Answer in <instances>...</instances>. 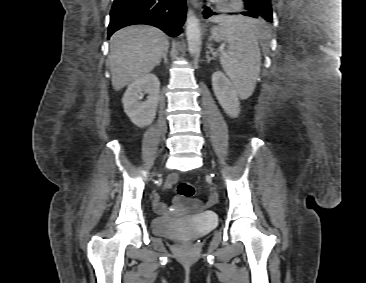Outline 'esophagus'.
<instances>
[{"label":"esophagus","mask_w":366,"mask_h":283,"mask_svg":"<svg viewBox=\"0 0 366 283\" xmlns=\"http://www.w3.org/2000/svg\"><path fill=\"white\" fill-rule=\"evenodd\" d=\"M192 4L198 8L200 6V2L198 0H191Z\"/></svg>","instance_id":"obj_1"}]
</instances>
